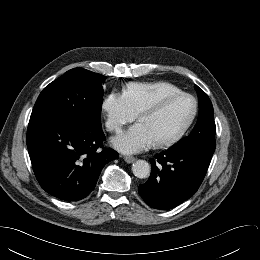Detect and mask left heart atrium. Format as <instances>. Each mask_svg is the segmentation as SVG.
Listing matches in <instances>:
<instances>
[{
	"label": "left heart atrium",
	"mask_w": 260,
	"mask_h": 260,
	"mask_svg": "<svg viewBox=\"0 0 260 260\" xmlns=\"http://www.w3.org/2000/svg\"><path fill=\"white\" fill-rule=\"evenodd\" d=\"M112 142L124 153H137L155 144V140L140 122L114 138Z\"/></svg>",
	"instance_id": "1"
}]
</instances>
